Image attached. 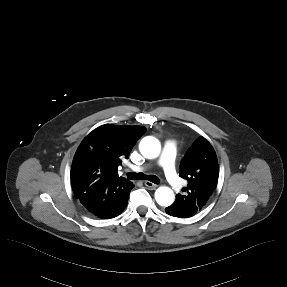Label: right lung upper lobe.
Instances as JSON below:
<instances>
[{
	"label": "right lung upper lobe",
	"instance_id": "obj_1",
	"mask_svg": "<svg viewBox=\"0 0 287 287\" xmlns=\"http://www.w3.org/2000/svg\"><path fill=\"white\" fill-rule=\"evenodd\" d=\"M146 132L142 126L102 125L88 134L78 147L71 167V184L80 200L96 181L123 179L117 170L123 158ZM127 181V180H126Z\"/></svg>",
	"mask_w": 287,
	"mask_h": 287
}]
</instances>
